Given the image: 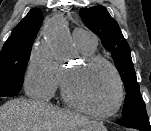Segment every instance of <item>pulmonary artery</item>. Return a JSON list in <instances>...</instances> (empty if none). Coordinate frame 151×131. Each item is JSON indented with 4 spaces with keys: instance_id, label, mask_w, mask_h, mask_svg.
Wrapping results in <instances>:
<instances>
[{
    "instance_id": "obj_1",
    "label": "pulmonary artery",
    "mask_w": 151,
    "mask_h": 131,
    "mask_svg": "<svg viewBox=\"0 0 151 131\" xmlns=\"http://www.w3.org/2000/svg\"><path fill=\"white\" fill-rule=\"evenodd\" d=\"M73 39L77 44H82L88 47H95L97 43L95 35L84 29L74 30Z\"/></svg>"
}]
</instances>
